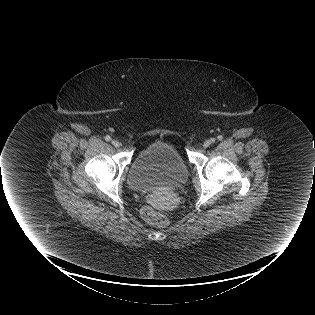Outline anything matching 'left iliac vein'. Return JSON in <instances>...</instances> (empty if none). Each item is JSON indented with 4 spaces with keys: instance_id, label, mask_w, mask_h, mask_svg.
Segmentation results:
<instances>
[{
    "instance_id": "obj_1",
    "label": "left iliac vein",
    "mask_w": 315,
    "mask_h": 315,
    "mask_svg": "<svg viewBox=\"0 0 315 315\" xmlns=\"http://www.w3.org/2000/svg\"><path fill=\"white\" fill-rule=\"evenodd\" d=\"M211 140H206L204 143H203V147L204 148H207V147H209L210 145H211Z\"/></svg>"
}]
</instances>
